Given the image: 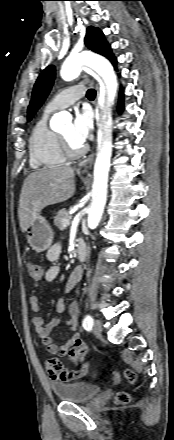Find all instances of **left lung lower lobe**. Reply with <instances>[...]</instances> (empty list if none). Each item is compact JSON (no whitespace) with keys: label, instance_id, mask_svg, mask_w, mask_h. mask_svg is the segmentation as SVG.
<instances>
[{"label":"left lung lower lobe","instance_id":"0a47b994","mask_svg":"<svg viewBox=\"0 0 174 440\" xmlns=\"http://www.w3.org/2000/svg\"><path fill=\"white\" fill-rule=\"evenodd\" d=\"M110 61H111V63L115 66V69H116V63H117V60H116L115 56H113V57L110 59ZM122 110H123V90L121 89V91H120L119 105H118V111L121 112Z\"/></svg>","mask_w":174,"mask_h":440}]
</instances>
